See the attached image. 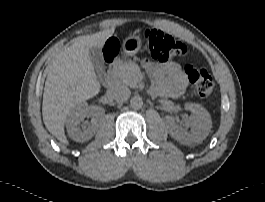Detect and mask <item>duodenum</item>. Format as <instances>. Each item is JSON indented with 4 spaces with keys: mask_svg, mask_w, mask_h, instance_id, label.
Masks as SVG:
<instances>
[{
    "mask_svg": "<svg viewBox=\"0 0 265 202\" xmlns=\"http://www.w3.org/2000/svg\"><path fill=\"white\" fill-rule=\"evenodd\" d=\"M116 66L113 65L108 73L104 76L102 83L105 86H111L115 82Z\"/></svg>",
    "mask_w": 265,
    "mask_h": 202,
    "instance_id": "410a0bca",
    "label": "duodenum"
}]
</instances>
